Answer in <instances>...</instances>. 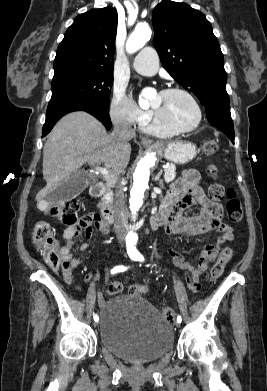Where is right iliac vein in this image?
<instances>
[{
    "label": "right iliac vein",
    "mask_w": 267,
    "mask_h": 391,
    "mask_svg": "<svg viewBox=\"0 0 267 391\" xmlns=\"http://www.w3.org/2000/svg\"><path fill=\"white\" fill-rule=\"evenodd\" d=\"M93 325H94V327H96V326L98 325V323H97V322H94Z\"/></svg>",
    "instance_id": "right-iliac-vein-1"
}]
</instances>
